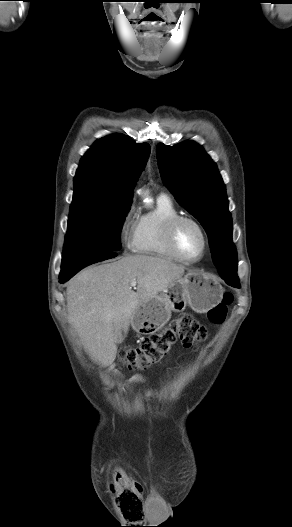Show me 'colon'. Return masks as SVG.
<instances>
[{
	"label": "colon",
	"instance_id": "colon-1",
	"mask_svg": "<svg viewBox=\"0 0 292 527\" xmlns=\"http://www.w3.org/2000/svg\"><path fill=\"white\" fill-rule=\"evenodd\" d=\"M232 295L225 293L220 303L208 312V319L214 325L224 322L228 306L232 303ZM207 329L192 315L177 317L161 331L144 339L138 346L122 352V360L129 369H144L159 362L180 342L186 348L196 347L207 338ZM121 485L124 490L118 497L120 506L125 510L131 503L141 510L140 487L130 480H124Z\"/></svg>",
	"mask_w": 292,
	"mask_h": 527
}]
</instances>
